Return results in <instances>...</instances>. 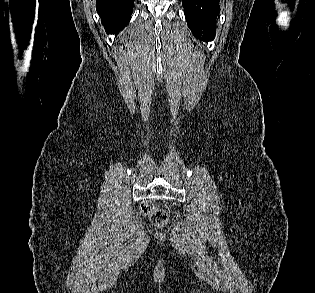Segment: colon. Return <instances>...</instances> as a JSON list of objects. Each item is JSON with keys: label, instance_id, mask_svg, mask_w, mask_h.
<instances>
[{"label": "colon", "instance_id": "obj_1", "mask_svg": "<svg viewBox=\"0 0 315 293\" xmlns=\"http://www.w3.org/2000/svg\"><path fill=\"white\" fill-rule=\"evenodd\" d=\"M141 211L144 215L149 216L153 225L163 227L168 222V213L162 208L156 207L149 202L141 205Z\"/></svg>", "mask_w": 315, "mask_h": 293}]
</instances>
